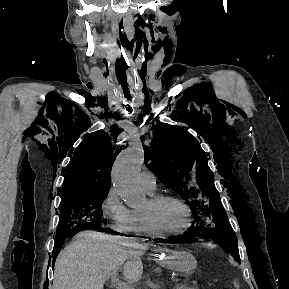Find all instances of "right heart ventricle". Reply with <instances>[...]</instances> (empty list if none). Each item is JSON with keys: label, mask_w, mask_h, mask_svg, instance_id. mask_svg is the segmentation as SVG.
<instances>
[{"label": "right heart ventricle", "mask_w": 289, "mask_h": 289, "mask_svg": "<svg viewBox=\"0 0 289 289\" xmlns=\"http://www.w3.org/2000/svg\"><path fill=\"white\" fill-rule=\"evenodd\" d=\"M132 215L134 219L133 231L138 235H152L147 231L139 210H132Z\"/></svg>", "instance_id": "e07e8e85"}]
</instances>
